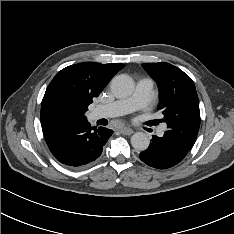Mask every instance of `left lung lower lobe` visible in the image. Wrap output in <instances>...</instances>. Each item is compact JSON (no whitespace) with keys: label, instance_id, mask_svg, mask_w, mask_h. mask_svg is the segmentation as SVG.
<instances>
[{"label":"left lung lower lobe","instance_id":"obj_1","mask_svg":"<svg viewBox=\"0 0 234 234\" xmlns=\"http://www.w3.org/2000/svg\"><path fill=\"white\" fill-rule=\"evenodd\" d=\"M151 141L150 146L139 157L144 163L157 169L175 166L190 150L166 133L163 137L153 136Z\"/></svg>","mask_w":234,"mask_h":234}]
</instances>
